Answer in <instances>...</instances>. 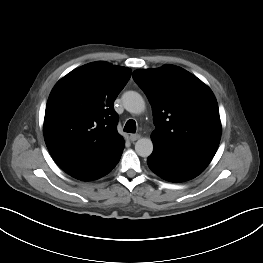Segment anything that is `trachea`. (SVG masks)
<instances>
[{
    "mask_svg": "<svg viewBox=\"0 0 263 263\" xmlns=\"http://www.w3.org/2000/svg\"><path fill=\"white\" fill-rule=\"evenodd\" d=\"M124 131L128 133L136 132V122L132 119L128 120L125 124Z\"/></svg>",
    "mask_w": 263,
    "mask_h": 263,
    "instance_id": "1",
    "label": "trachea"
}]
</instances>
